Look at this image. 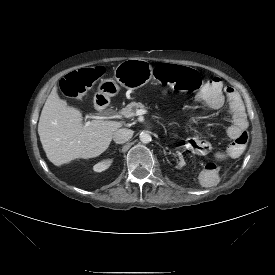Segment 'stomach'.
Here are the masks:
<instances>
[{
	"instance_id": "obj_1",
	"label": "stomach",
	"mask_w": 275,
	"mask_h": 275,
	"mask_svg": "<svg viewBox=\"0 0 275 275\" xmlns=\"http://www.w3.org/2000/svg\"><path fill=\"white\" fill-rule=\"evenodd\" d=\"M152 72L151 65L145 60H125L114 69L113 79L101 81L98 94L104 97L115 96L119 92L118 84L129 90L140 88L151 80Z\"/></svg>"
}]
</instances>
